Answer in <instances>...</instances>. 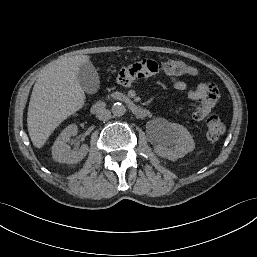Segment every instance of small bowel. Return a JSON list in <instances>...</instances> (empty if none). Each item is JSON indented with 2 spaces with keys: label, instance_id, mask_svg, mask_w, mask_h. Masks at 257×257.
I'll list each match as a JSON object with an SVG mask.
<instances>
[{
  "label": "small bowel",
  "instance_id": "small-bowel-1",
  "mask_svg": "<svg viewBox=\"0 0 257 257\" xmlns=\"http://www.w3.org/2000/svg\"><path fill=\"white\" fill-rule=\"evenodd\" d=\"M158 73L156 61L140 58L130 64L120 65L115 73V80L122 87L150 84L156 80ZM166 84L176 92L185 93L187 99L199 101L192 108V117L197 121L203 120L211 112L219 98L218 89L212 82H202L196 88L187 90V84L178 75L171 74L167 77Z\"/></svg>",
  "mask_w": 257,
  "mask_h": 257
}]
</instances>
